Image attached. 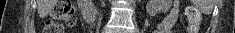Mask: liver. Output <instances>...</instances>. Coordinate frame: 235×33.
<instances>
[{
  "instance_id": "1",
  "label": "liver",
  "mask_w": 235,
  "mask_h": 33,
  "mask_svg": "<svg viewBox=\"0 0 235 33\" xmlns=\"http://www.w3.org/2000/svg\"><path fill=\"white\" fill-rule=\"evenodd\" d=\"M38 13L41 17L47 16L53 4L51 0H38Z\"/></svg>"
}]
</instances>
